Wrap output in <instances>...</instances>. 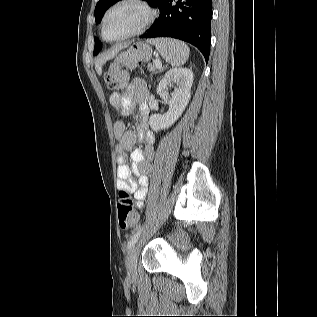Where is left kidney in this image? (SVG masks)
Segmentation results:
<instances>
[{
  "label": "left kidney",
  "instance_id": "left-kidney-1",
  "mask_svg": "<svg viewBox=\"0 0 317 317\" xmlns=\"http://www.w3.org/2000/svg\"><path fill=\"white\" fill-rule=\"evenodd\" d=\"M193 83V72L189 68H175L167 71L157 86V94L169 105L167 113L153 114L149 124L154 131L172 126L185 110L190 97ZM175 85L169 94V88Z\"/></svg>",
  "mask_w": 317,
  "mask_h": 317
}]
</instances>
